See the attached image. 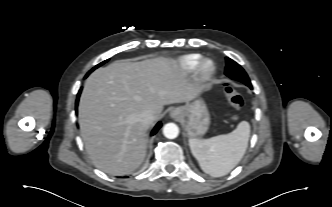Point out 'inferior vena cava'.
Returning <instances> with one entry per match:
<instances>
[{
  "mask_svg": "<svg viewBox=\"0 0 332 207\" xmlns=\"http://www.w3.org/2000/svg\"><path fill=\"white\" fill-rule=\"evenodd\" d=\"M154 119V113L150 110H146L139 115L140 122L146 126H149Z\"/></svg>",
  "mask_w": 332,
  "mask_h": 207,
  "instance_id": "1",
  "label": "inferior vena cava"
}]
</instances>
